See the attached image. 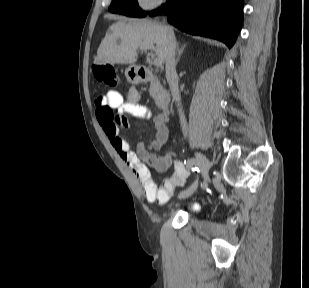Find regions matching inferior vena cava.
Instances as JSON below:
<instances>
[{
  "label": "inferior vena cava",
  "instance_id": "602c4592",
  "mask_svg": "<svg viewBox=\"0 0 309 288\" xmlns=\"http://www.w3.org/2000/svg\"><path fill=\"white\" fill-rule=\"evenodd\" d=\"M164 28L167 34V41H168L167 53H166V59H165L166 79L169 84L173 100L177 102V105L179 107L178 110H179L181 127H182L184 136H186L187 122H186L184 113L182 111V108L180 107L181 97L179 94L178 76L176 73V61H175L176 41H175L174 32L172 28L169 26H165Z\"/></svg>",
  "mask_w": 309,
  "mask_h": 288
}]
</instances>
